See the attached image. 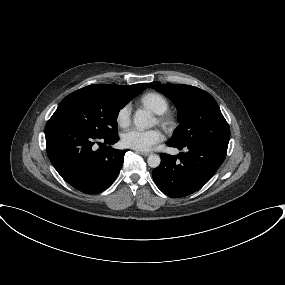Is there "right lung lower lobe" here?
Segmentation results:
<instances>
[{
  "mask_svg": "<svg viewBox=\"0 0 285 285\" xmlns=\"http://www.w3.org/2000/svg\"><path fill=\"white\" fill-rule=\"evenodd\" d=\"M45 137L47 155L57 172L68 184L86 194L100 193L114 182L127 151L110 146L93 150L96 142L116 143L118 134L97 137L61 118H50Z\"/></svg>",
  "mask_w": 285,
  "mask_h": 285,
  "instance_id": "98d812e1",
  "label": "right lung lower lobe"
}]
</instances>
